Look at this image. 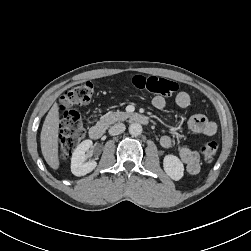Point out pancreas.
Listing matches in <instances>:
<instances>
[{"instance_id": "cf45deb5", "label": "pancreas", "mask_w": 251, "mask_h": 251, "mask_svg": "<svg viewBox=\"0 0 251 251\" xmlns=\"http://www.w3.org/2000/svg\"><path fill=\"white\" fill-rule=\"evenodd\" d=\"M129 117L127 112H109L106 115L102 116L100 120L97 122L98 125H101L105 128H108L110 125L123 121Z\"/></svg>"}]
</instances>
